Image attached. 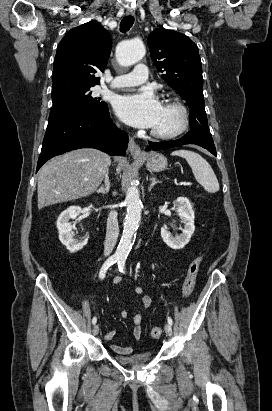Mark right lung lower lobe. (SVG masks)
<instances>
[{
    "instance_id": "98d812e1",
    "label": "right lung lower lobe",
    "mask_w": 272,
    "mask_h": 411,
    "mask_svg": "<svg viewBox=\"0 0 272 411\" xmlns=\"http://www.w3.org/2000/svg\"><path fill=\"white\" fill-rule=\"evenodd\" d=\"M85 147L110 155L126 154L128 134L112 122L107 106L101 111L71 114L48 123L36 172L50 158Z\"/></svg>"
}]
</instances>
